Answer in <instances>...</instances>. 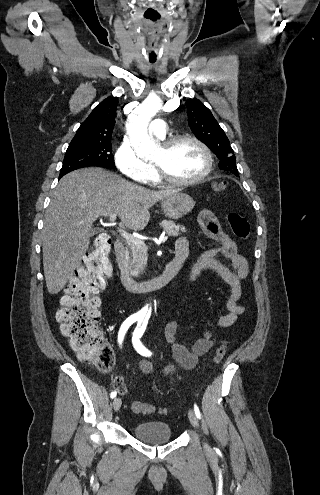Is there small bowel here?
<instances>
[{"instance_id":"small-bowel-1","label":"small bowel","mask_w":320,"mask_h":495,"mask_svg":"<svg viewBox=\"0 0 320 495\" xmlns=\"http://www.w3.org/2000/svg\"><path fill=\"white\" fill-rule=\"evenodd\" d=\"M199 223L207 239L215 242V247L206 250L189 274V282L194 283L204 270L216 272L230 287V296L226 303L228 313L222 315L216 322L219 328H228L244 312V307L238 303L242 295L241 281L248 275V263L246 258L238 253L236 242L224 231L216 216L209 210H204L199 216ZM178 250L186 249L189 244L186 237H180L176 242ZM221 256L228 260V264L221 262ZM179 323L176 320L168 322L163 329V336L171 346L174 359L184 369H193L198 364L201 356L207 354L213 347L212 332L204 331L202 336L191 339L188 346L176 342ZM140 368L145 374L154 373L156 368L152 362L143 359ZM176 368L173 365H165L162 372L171 374Z\"/></svg>"}]
</instances>
